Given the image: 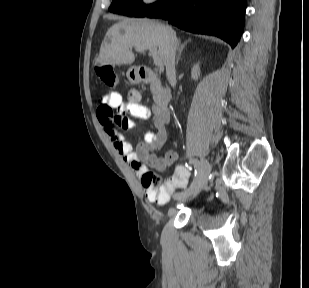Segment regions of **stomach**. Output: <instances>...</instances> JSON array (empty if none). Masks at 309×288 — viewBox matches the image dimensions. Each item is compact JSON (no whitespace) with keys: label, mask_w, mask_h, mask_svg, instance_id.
I'll return each mask as SVG.
<instances>
[{"label":"stomach","mask_w":309,"mask_h":288,"mask_svg":"<svg viewBox=\"0 0 309 288\" xmlns=\"http://www.w3.org/2000/svg\"><path fill=\"white\" fill-rule=\"evenodd\" d=\"M127 78L131 83H139L141 81V77L139 75L138 69L136 67H131L128 69Z\"/></svg>","instance_id":"obj_1"}]
</instances>
